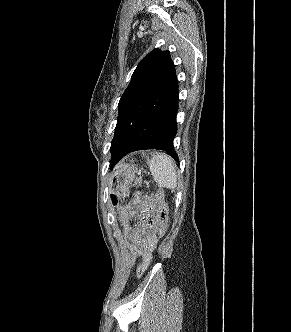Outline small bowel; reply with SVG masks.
I'll list each match as a JSON object with an SVG mask.
<instances>
[{"label": "small bowel", "instance_id": "1", "mask_svg": "<svg viewBox=\"0 0 291 332\" xmlns=\"http://www.w3.org/2000/svg\"><path fill=\"white\" fill-rule=\"evenodd\" d=\"M125 229L130 232V238L135 244L143 246L144 252H148L152 249L156 242L157 235L160 231L159 227H137L132 229L128 225H125Z\"/></svg>", "mask_w": 291, "mask_h": 332}]
</instances>
